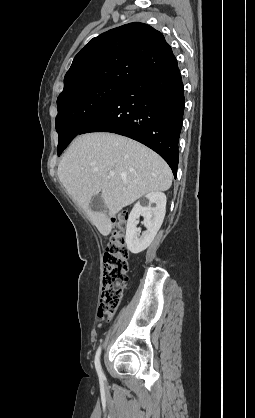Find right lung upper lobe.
I'll return each mask as SVG.
<instances>
[{
	"label": "right lung upper lobe",
	"mask_w": 255,
	"mask_h": 418,
	"mask_svg": "<svg viewBox=\"0 0 255 418\" xmlns=\"http://www.w3.org/2000/svg\"><path fill=\"white\" fill-rule=\"evenodd\" d=\"M175 63L161 32L144 23H129L93 38L75 56L60 95L97 81L130 84Z\"/></svg>",
	"instance_id": "right-lung-upper-lobe-1"
}]
</instances>
